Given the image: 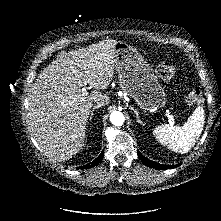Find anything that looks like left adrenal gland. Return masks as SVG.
Returning <instances> with one entry per match:
<instances>
[{"label":"left adrenal gland","instance_id":"obj_1","mask_svg":"<svg viewBox=\"0 0 221 221\" xmlns=\"http://www.w3.org/2000/svg\"><path fill=\"white\" fill-rule=\"evenodd\" d=\"M131 109L134 111V113H135V115H136V120H137V122L144 126L143 121H141V119L139 118V115H138L137 110L134 109V108H131Z\"/></svg>","mask_w":221,"mask_h":221}]
</instances>
